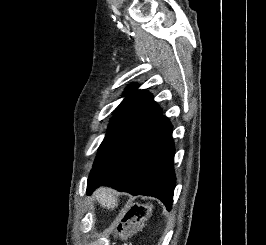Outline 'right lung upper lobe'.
<instances>
[{
	"label": "right lung upper lobe",
	"mask_w": 266,
	"mask_h": 245,
	"mask_svg": "<svg viewBox=\"0 0 266 245\" xmlns=\"http://www.w3.org/2000/svg\"><path fill=\"white\" fill-rule=\"evenodd\" d=\"M138 85H130L125 90L126 98L114 111V119L148 122L162 115L152 95L145 90H137Z\"/></svg>",
	"instance_id": "obj_1"
}]
</instances>
